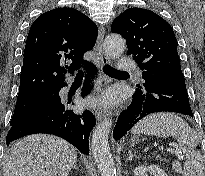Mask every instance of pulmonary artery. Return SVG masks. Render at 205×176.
<instances>
[{"instance_id":"obj_1","label":"pulmonary artery","mask_w":205,"mask_h":176,"mask_svg":"<svg viewBox=\"0 0 205 176\" xmlns=\"http://www.w3.org/2000/svg\"><path fill=\"white\" fill-rule=\"evenodd\" d=\"M119 69L123 71H139L138 66L126 55L119 58Z\"/></svg>"}]
</instances>
